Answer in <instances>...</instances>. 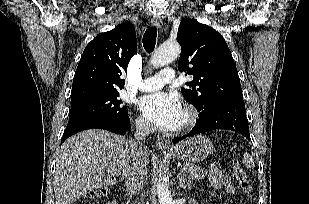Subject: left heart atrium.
<instances>
[{"mask_svg":"<svg viewBox=\"0 0 309 204\" xmlns=\"http://www.w3.org/2000/svg\"><path fill=\"white\" fill-rule=\"evenodd\" d=\"M140 107L147 119L164 130L176 129L183 114L178 97L165 92L144 96L140 101Z\"/></svg>","mask_w":309,"mask_h":204,"instance_id":"left-heart-atrium-1","label":"left heart atrium"}]
</instances>
